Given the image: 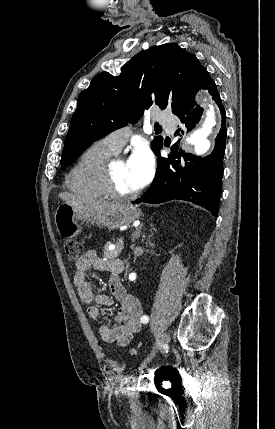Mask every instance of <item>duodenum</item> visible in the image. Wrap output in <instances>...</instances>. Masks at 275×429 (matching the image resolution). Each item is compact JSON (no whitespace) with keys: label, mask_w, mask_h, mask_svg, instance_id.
Instances as JSON below:
<instances>
[{"label":"duodenum","mask_w":275,"mask_h":429,"mask_svg":"<svg viewBox=\"0 0 275 429\" xmlns=\"http://www.w3.org/2000/svg\"><path fill=\"white\" fill-rule=\"evenodd\" d=\"M116 270L117 272H121L123 270V264L121 262L118 263Z\"/></svg>","instance_id":"duodenum-1"}]
</instances>
